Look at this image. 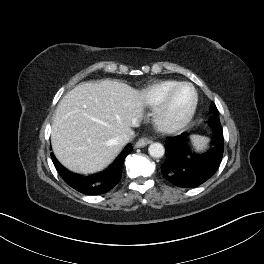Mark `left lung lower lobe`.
Listing matches in <instances>:
<instances>
[{"label":"left lung lower lobe","mask_w":264,"mask_h":264,"mask_svg":"<svg viewBox=\"0 0 264 264\" xmlns=\"http://www.w3.org/2000/svg\"><path fill=\"white\" fill-rule=\"evenodd\" d=\"M212 129L210 147L201 153L190 149L187 133L167 138L166 161L161 166L162 174L167 180L178 187L192 188L214 175L222 161L224 138L222 127Z\"/></svg>","instance_id":"0a47b994"}]
</instances>
